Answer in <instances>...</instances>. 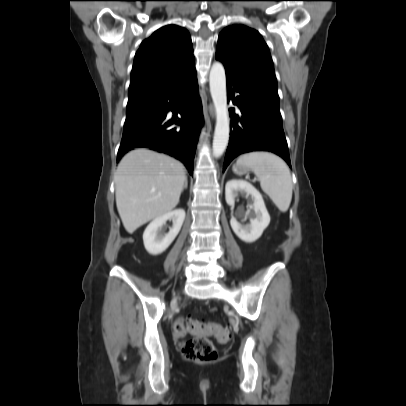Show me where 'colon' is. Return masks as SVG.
<instances>
[{"label": "colon", "mask_w": 406, "mask_h": 406, "mask_svg": "<svg viewBox=\"0 0 406 406\" xmlns=\"http://www.w3.org/2000/svg\"><path fill=\"white\" fill-rule=\"evenodd\" d=\"M175 333L179 337L193 334L195 337L182 344L183 356L193 362L206 363L217 358V351L206 335H215L220 343L229 340L228 332L218 323L197 320L190 317L181 318L175 323Z\"/></svg>", "instance_id": "1"}]
</instances>
